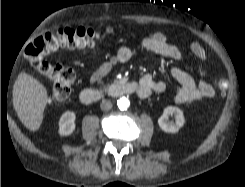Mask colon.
<instances>
[{
  "label": "colon",
  "instance_id": "obj_1",
  "mask_svg": "<svg viewBox=\"0 0 245 187\" xmlns=\"http://www.w3.org/2000/svg\"><path fill=\"white\" fill-rule=\"evenodd\" d=\"M101 38V33L92 28H65L48 32L36 38L25 49L27 62L42 76L50 79L53 89L49 102L56 103L67 99L75 81V72L61 63H53L45 58L60 48H83L94 46ZM221 93H225L228 82L220 78L217 83Z\"/></svg>",
  "mask_w": 245,
  "mask_h": 187
}]
</instances>
